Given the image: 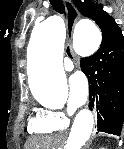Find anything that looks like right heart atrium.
<instances>
[{
    "label": "right heart atrium",
    "instance_id": "d8ad5b80",
    "mask_svg": "<svg viewBox=\"0 0 124 149\" xmlns=\"http://www.w3.org/2000/svg\"><path fill=\"white\" fill-rule=\"evenodd\" d=\"M45 113L60 127H65L68 123V118L60 111H45Z\"/></svg>",
    "mask_w": 124,
    "mask_h": 149
}]
</instances>
